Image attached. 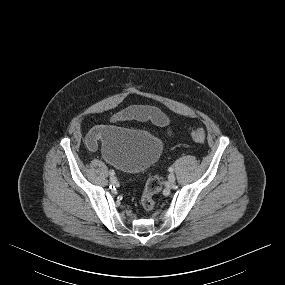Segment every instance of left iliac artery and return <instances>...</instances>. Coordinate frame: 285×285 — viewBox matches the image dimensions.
Returning <instances> with one entry per match:
<instances>
[{"instance_id": "left-iliac-artery-1", "label": "left iliac artery", "mask_w": 285, "mask_h": 285, "mask_svg": "<svg viewBox=\"0 0 285 285\" xmlns=\"http://www.w3.org/2000/svg\"><path fill=\"white\" fill-rule=\"evenodd\" d=\"M174 168L173 167H169V171L173 172Z\"/></svg>"}]
</instances>
